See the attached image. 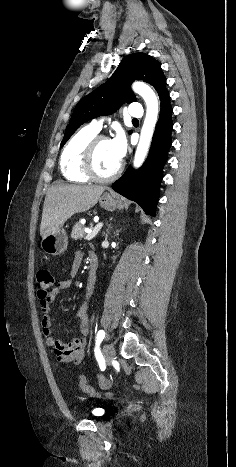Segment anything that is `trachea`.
Returning <instances> with one entry per match:
<instances>
[{"label":"trachea","mask_w":236,"mask_h":467,"mask_svg":"<svg viewBox=\"0 0 236 467\" xmlns=\"http://www.w3.org/2000/svg\"><path fill=\"white\" fill-rule=\"evenodd\" d=\"M132 121H134V122H138V120H137V119H133Z\"/></svg>","instance_id":"trachea-1"}]
</instances>
